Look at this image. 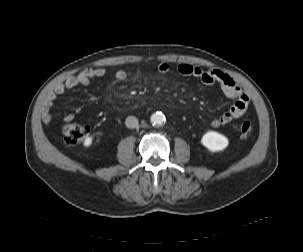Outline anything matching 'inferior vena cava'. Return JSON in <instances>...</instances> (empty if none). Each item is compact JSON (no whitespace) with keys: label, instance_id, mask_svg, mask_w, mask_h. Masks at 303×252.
Listing matches in <instances>:
<instances>
[{"label":"inferior vena cava","instance_id":"1","mask_svg":"<svg viewBox=\"0 0 303 252\" xmlns=\"http://www.w3.org/2000/svg\"><path fill=\"white\" fill-rule=\"evenodd\" d=\"M125 125L128 128H136L138 126V119L134 116H128L125 120Z\"/></svg>","mask_w":303,"mask_h":252}]
</instances>
